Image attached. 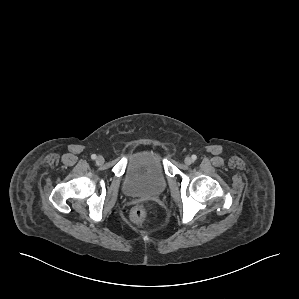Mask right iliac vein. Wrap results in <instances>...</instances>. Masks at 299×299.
<instances>
[{"label": "right iliac vein", "mask_w": 299, "mask_h": 299, "mask_svg": "<svg viewBox=\"0 0 299 299\" xmlns=\"http://www.w3.org/2000/svg\"><path fill=\"white\" fill-rule=\"evenodd\" d=\"M96 162H97V164L101 165L104 163V158L102 156H98L96 158Z\"/></svg>", "instance_id": "63e3f726"}]
</instances>
